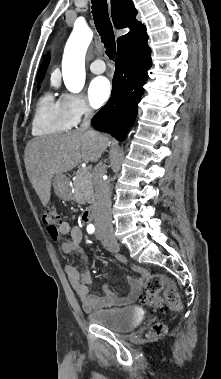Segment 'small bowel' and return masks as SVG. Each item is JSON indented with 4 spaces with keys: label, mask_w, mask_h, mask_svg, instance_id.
Returning <instances> with one entry per match:
<instances>
[{
    "label": "small bowel",
    "mask_w": 221,
    "mask_h": 379,
    "mask_svg": "<svg viewBox=\"0 0 221 379\" xmlns=\"http://www.w3.org/2000/svg\"><path fill=\"white\" fill-rule=\"evenodd\" d=\"M48 233L53 240H57L61 236L70 235V239L62 243V251L65 254L74 255L77 259L88 265L84 271H81L78 266L71 264H66L64 268L70 284L82 299L85 312H91L97 308L123 307L133 303L140 296L143 282L148 272L136 265H130V267L138 274V278L128 277L129 291L125 296H118L107 285H103V296L99 297L92 294L90 292V285L93 283V271L91 261L81 247L83 233L79 225L62 221L54 234L49 231ZM120 261L128 264L123 258Z\"/></svg>",
    "instance_id": "1"
}]
</instances>
